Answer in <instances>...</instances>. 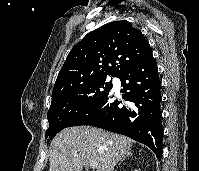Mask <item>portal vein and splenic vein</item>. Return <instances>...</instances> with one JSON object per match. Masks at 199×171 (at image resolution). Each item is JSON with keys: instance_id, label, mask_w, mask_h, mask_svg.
<instances>
[{"instance_id": "obj_1", "label": "portal vein and splenic vein", "mask_w": 199, "mask_h": 171, "mask_svg": "<svg viewBox=\"0 0 199 171\" xmlns=\"http://www.w3.org/2000/svg\"><path fill=\"white\" fill-rule=\"evenodd\" d=\"M90 167L91 168H95V164H90Z\"/></svg>"}]
</instances>
